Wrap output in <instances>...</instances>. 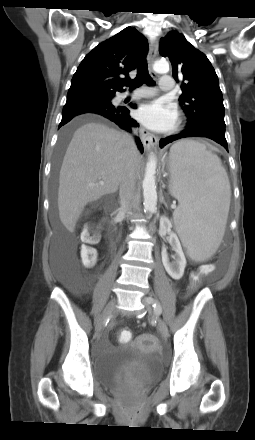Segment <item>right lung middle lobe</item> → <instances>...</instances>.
Segmentation results:
<instances>
[{
    "instance_id": "right-lung-middle-lobe-1",
    "label": "right lung middle lobe",
    "mask_w": 255,
    "mask_h": 440,
    "mask_svg": "<svg viewBox=\"0 0 255 440\" xmlns=\"http://www.w3.org/2000/svg\"><path fill=\"white\" fill-rule=\"evenodd\" d=\"M113 95H115V94H110V95H97V96H94V97H112ZM64 135H66V133H64ZM64 143H65V138L63 137L62 142H61V145H64Z\"/></svg>"
}]
</instances>
